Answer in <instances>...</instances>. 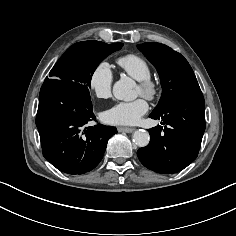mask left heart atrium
Returning a JSON list of instances; mask_svg holds the SVG:
<instances>
[{"label":"left heart atrium","instance_id":"obj_1","mask_svg":"<svg viewBox=\"0 0 236 236\" xmlns=\"http://www.w3.org/2000/svg\"><path fill=\"white\" fill-rule=\"evenodd\" d=\"M148 109V102L143 97L133 101H119L103 113V119L113 125H134Z\"/></svg>","mask_w":236,"mask_h":236}]
</instances>
